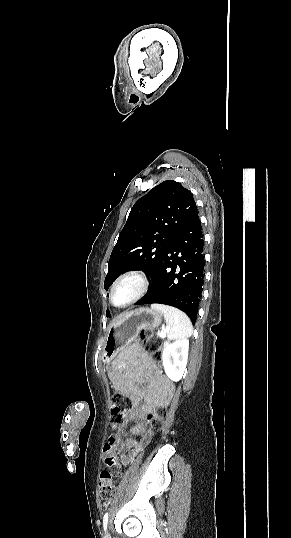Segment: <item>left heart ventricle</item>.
<instances>
[{
  "mask_svg": "<svg viewBox=\"0 0 291 538\" xmlns=\"http://www.w3.org/2000/svg\"><path fill=\"white\" fill-rule=\"evenodd\" d=\"M137 290L138 283L135 280L124 281L115 290L114 302L116 304L126 302Z\"/></svg>",
  "mask_w": 291,
  "mask_h": 538,
  "instance_id": "obj_1",
  "label": "left heart ventricle"
}]
</instances>
